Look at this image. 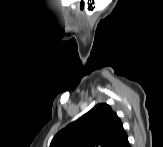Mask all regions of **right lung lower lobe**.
<instances>
[{
    "label": "right lung lower lobe",
    "instance_id": "obj_1",
    "mask_svg": "<svg viewBox=\"0 0 163 147\" xmlns=\"http://www.w3.org/2000/svg\"><path fill=\"white\" fill-rule=\"evenodd\" d=\"M113 147H130L128 142L127 134L124 135L120 140H118Z\"/></svg>",
    "mask_w": 163,
    "mask_h": 147
}]
</instances>
